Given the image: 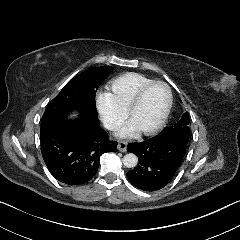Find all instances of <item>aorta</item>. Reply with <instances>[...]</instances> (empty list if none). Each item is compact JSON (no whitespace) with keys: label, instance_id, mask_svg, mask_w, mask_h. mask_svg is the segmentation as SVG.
<instances>
[{"label":"aorta","instance_id":"1","mask_svg":"<svg viewBox=\"0 0 240 240\" xmlns=\"http://www.w3.org/2000/svg\"><path fill=\"white\" fill-rule=\"evenodd\" d=\"M123 164L126 168H134L138 164V157L134 153H127L123 157Z\"/></svg>","mask_w":240,"mask_h":240}]
</instances>
